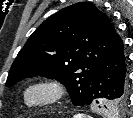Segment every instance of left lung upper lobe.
Instances as JSON below:
<instances>
[{
  "label": "left lung upper lobe",
  "instance_id": "left-lung-upper-lobe-1",
  "mask_svg": "<svg viewBox=\"0 0 133 118\" xmlns=\"http://www.w3.org/2000/svg\"><path fill=\"white\" fill-rule=\"evenodd\" d=\"M118 36L95 5L80 2L46 19L30 36L9 71L6 86L41 75L66 85L72 103L84 106L92 77ZM128 98L99 105L110 113L125 110Z\"/></svg>",
  "mask_w": 133,
  "mask_h": 118
}]
</instances>
